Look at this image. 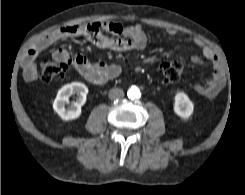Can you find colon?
Masks as SVG:
<instances>
[{"mask_svg":"<svg viewBox=\"0 0 245 195\" xmlns=\"http://www.w3.org/2000/svg\"><path fill=\"white\" fill-rule=\"evenodd\" d=\"M68 69L67 62L58 58L45 57L40 62V78L44 82L61 80ZM182 64L177 60L165 62L161 67L163 78L166 82L177 81L182 74Z\"/></svg>","mask_w":245,"mask_h":195,"instance_id":"1","label":"colon"}]
</instances>
